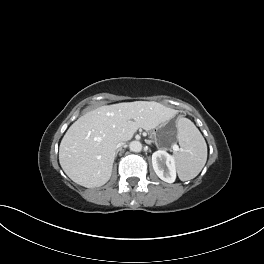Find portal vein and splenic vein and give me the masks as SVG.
<instances>
[{
    "label": "portal vein and splenic vein",
    "mask_w": 264,
    "mask_h": 264,
    "mask_svg": "<svg viewBox=\"0 0 264 264\" xmlns=\"http://www.w3.org/2000/svg\"><path fill=\"white\" fill-rule=\"evenodd\" d=\"M173 150L174 151H178L179 150V147L177 145H173Z\"/></svg>",
    "instance_id": "18ae733b"
}]
</instances>
